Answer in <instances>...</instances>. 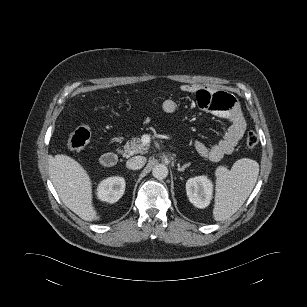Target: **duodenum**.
<instances>
[{"instance_id":"410a0bca","label":"duodenum","mask_w":307,"mask_h":307,"mask_svg":"<svg viewBox=\"0 0 307 307\" xmlns=\"http://www.w3.org/2000/svg\"><path fill=\"white\" fill-rule=\"evenodd\" d=\"M101 164L105 168H112L118 162V155L115 152H107L101 156Z\"/></svg>"}]
</instances>
